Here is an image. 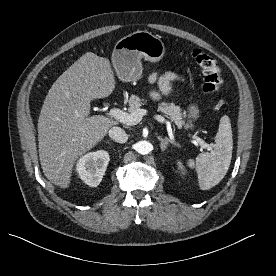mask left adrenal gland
<instances>
[{
	"instance_id": "1",
	"label": "left adrenal gland",
	"mask_w": 276,
	"mask_h": 276,
	"mask_svg": "<svg viewBox=\"0 0 276 276\" xmlns=\"http://www.w3.org/2000/svg\"><path fill=\"white\" fill-rule=\"evenodd\" d=\"M157 138L161 142L160 147H161L162 151H164L167 148V146H168L169 143H171V144H173V145H175V146L178 147V144L176 142H174L173 140H171V139H169L167 137L163 138L161 136H158Z\"/></svg>"
}]
</instances>
